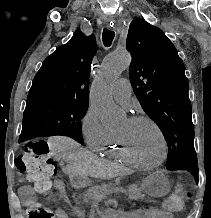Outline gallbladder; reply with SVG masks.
Here are the masks:
<instances>
[{
    "label": "gallbladder",
    "mask_w": 211,
    "mask_h": 218,
    "mask_svg": "<svg viewBox=\"0 0 211 218\" xmlns=\"http://www.w3.org/2000/svg\"><path fill=\"white\" fill-rule=\"evenodd\" d=\"M62 170H63L64 174H67V172H68V166H63Z\"/></svg>",
    "instance_id": "gallbladder-1"
}]
</instances>
